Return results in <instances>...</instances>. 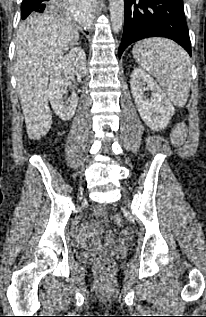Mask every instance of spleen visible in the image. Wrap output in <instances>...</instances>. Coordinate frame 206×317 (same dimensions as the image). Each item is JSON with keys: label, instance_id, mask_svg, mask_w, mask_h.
<instances>
[{"label": "spleen", "instance_id": "obj_1", "mask_svg": "<svg viewBox=\"0 0 206 317\" xmlns=\"http://www.w3.org/2000/svg\"><path fill=\"white\" fill-rule=\"evenodd\" d=\"M132 54L137 63L156 78L174 105L186 104L191 64L184 49L167 39L150 38L136 43Z\"/></svg>", "mask_w": 206, "mask_h": 317}]
</instances>
